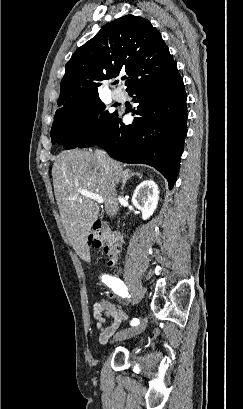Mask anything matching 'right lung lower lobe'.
Listing matches in <instances>:
<instances>
[{
	"label": "right lung lower lobe",
	"instance_id": "98d812e1",
	"mask_svg": "<svg viewBox=\"0 0 243 409\" xmlns=\"http://www.w3.org/2000/svg\"><path fill=\"white\" fill-rule=\"evenodd\" d=\"M139 103L130 125L117 118L77 147L97 145L121 162L148 164L160 171L172 189L180 167L188 118L183 79L177 66L127 90Z\"/></svg>",
	"mask_w": 243,
	"mask_h": 409
}]
</instances>
